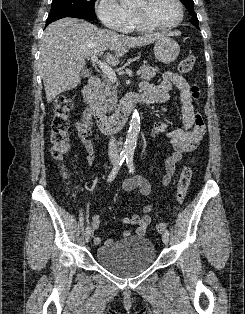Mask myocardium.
<instances>
[{
  "label": "myocardium",
  "mask_w": 245,
  "mask_h": 314,
  "mask_svg": "<svg viewBox=\"0 0 245 314\" xmlns=\"http://www.w3.org/2000/svg\"><path fill=\"white\" fill-rule=\"evenodd\" d=\"M178 9H179V18L171 23H156L153 22L143 15H141L138 11L135 9L131 8V14L133 17V20L136 24H138L141 27L147 28V29H166V28H172L180 24L184 18V7L181 2V0H175Z\"/></svg>",
  "instance_id": "obj_1"
}]
</instances>
